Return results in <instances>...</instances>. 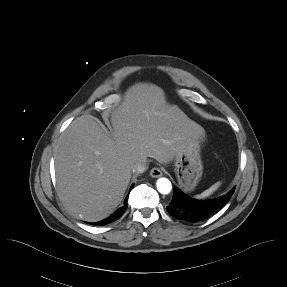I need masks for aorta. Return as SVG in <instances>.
I'll use <instances>...</instances> for the list:
<instances>
[{
	"mask_svg": "<svg viewBox=\"0 0 287 287\" xmlns=\"http://www.w3.org/2000/svg\"><path fill=\"white\" fill-rule=\"evenodd\" d=\"M156 187L159 193L169 194L172 190V184L169 179L162 177L159 178L156 182Z\"/></svg>",
	"mask_w": 287,
	"mask_h": 287,
	"instance_id": "762f6f07",
	"label": "aorta"
}]
</instances>
